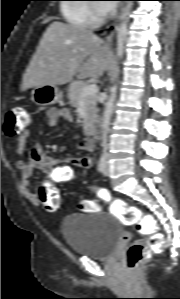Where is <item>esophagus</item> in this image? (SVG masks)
Returning <instances> with one entry per match:
<instances>
[{"label": "esophagus", "instance_id": "34e87169", "mask_svg": "<svg viewBox=\"0 0 180 299\" xmlns=\"http://www.w3.org/2000/svg\"><path fill=\"white\" fill-rule=\"evenodd\" d=\"M123 10V6H121L119 14L117 15V17L114 19V21L109 25L106 34H105V43L108 46H111L113 44L114 41V36H115V32H116V28L120 19V14Z\"/></svg>", "mask_w": 180, "mask_h": 299}]
</instances>
